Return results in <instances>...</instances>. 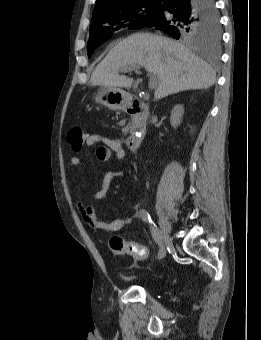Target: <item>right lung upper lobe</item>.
<instances>
[{"label": "right lung upper lobe", "instance_id": "obj_1", "mask_svg": "<svg viewBox=\"0 0 261 340\" xmlns=\"http://www.w3.org/2000/svg\"><path fill=\"white\" fill-rule=\"evenodd\" d=\"M139 1L145 0H96L92 20L95 21L103 17L104 15L120 8Z\"/></svg>", "mask_w": 261, "mask_h": 340}]
</instances>
